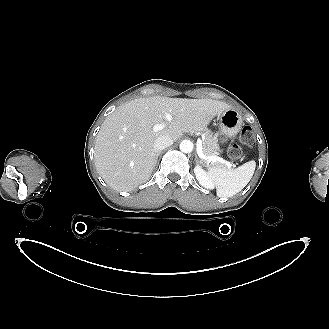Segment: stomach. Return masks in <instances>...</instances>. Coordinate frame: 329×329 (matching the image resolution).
I'll return each mask as SVG.
<instances>
[{
    "label": "stomach",
    "mask_w": 329,
    "mask_h": 329,
    "mask_svg": "<svg viewBox=\"0 0 329 329\" xmlns=\"http://www.w3.org/2000/svg\"><path fill=\"white\" fill-rule=\"evenodd\" d=\"M218 117L221 131L228 137H232L237 134L243 125V120L240 113L233 108L224 111L218 115Z\"/></svg>",
    "instance_id": "0dacf381"
}]
</instances>
